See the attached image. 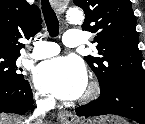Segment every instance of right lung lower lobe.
Segmentation results:
<instances>
[{
	"mask_svg": "<svg viewBox=\"0 0 145 124\" xmlns=\"http://www.w3.org/2000/svg\"><path fill=\"white\" fill-rule=\"evenodd\" d=\"M34 109L32 91L25 79L10 80L0 78V113L23 115Z\"/></svg>",
	"mask_w": 145,
	"mask_h": 124,
	"instance_id": "1",
	"label": "right lung lower lobe"
}]
</instances>
